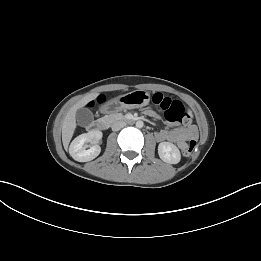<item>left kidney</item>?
I'll return each instance as SVG.
<instances>
[{"instance_id":"5707ae66","label":"left kidney","mask_w":261,"mask_h":261,"mask_svg":"<svg viewBox=\"0 0 261 261\" xmlns=\"http://www.w3.org/2000/svg\"><path fill=\"white\" fill-rule=\"evenodd\" d=\"M159 157L166 163L177 164L181 159L179 149L172 143L161 142L158 146Z\"/></svg>"}]
</instances>
